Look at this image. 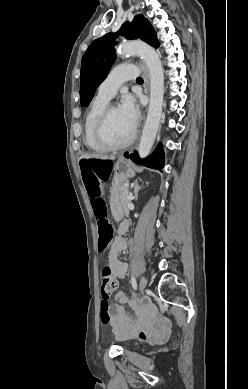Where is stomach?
Segmentation results:
<instances>
[{
    "label": "stomach",
    "mask_w": 248,
    "mask_h": 389,
    "mask_svg": "<svg viewBox=\"0 0 248 389\" xmlns=\"http://www.w3.org/2000/svg\"><path fill=\"white\" fill-rule=\"evenodd\" d=\"M113 170L114 178L113 185L111 186L110 205L113 219L123 220L124 211L121 209L120 192L117 189H120L123 183L128 182V180L135 175V170L132 164L123 158L118 159V161L113 164Z\"/></svg>",
    "instance_id": "obj_1"
}]
</instances>
